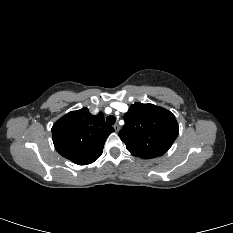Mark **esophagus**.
Listing matches in <instances>:
<instances>
[{
  "mask_svg": "<svg viewBox=\"0 0 233 233\" xmlns=\"http://www.w3.org/2000/svg\"><path fill=\"white\" fill-rule=\"evenodd\" d=\"M113 128H114V130H115L116 132H119V130H120V126H119L118 124H115V125L113 126Z\"/></svg>",
  "mask_w": 233,
  "mask_h": 233,
  "instance_id": "esophagus-1",
  "label": "esophagus"
}]
</instances>
